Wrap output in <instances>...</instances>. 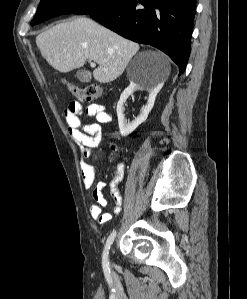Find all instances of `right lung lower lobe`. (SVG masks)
Segmentation results:
<instances>
[{
  "label": "right lung lower lobe",
  "mask_w": 247,
  "mask_h": 299,
  "mask_svg": "<svg viewBox=\"0 0 247 299\" xmlns=\"http://www.w3.org/2000/svg\"><path fill=\"white\" fill-rule=\"evenodd\" d=\"M196 0H123L89 15L137 43L166 53L181 75L188 63Z\"/></svg>",
  "instance_id": "98d812e1"
}]
</instances>
